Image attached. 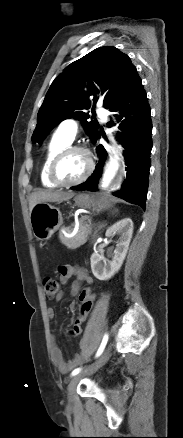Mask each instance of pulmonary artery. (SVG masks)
Returning a JSON list of instances; mask_svg holds the SVG:
<instances>
[{"mask_svg": "<svg viewBox=\"0 0 183 438\" xmlns=\"http://www.w3.org/2000/svg\"><path fill=\"white\" fill-rule=\"evenodd\" d=\"M97 111L103 120H106L107 113L102 107V103L99 102L97 105ZM58 131L66 136L70 140H74L77 131L78 125L74 119H66L59 125Z\"/></svg>", "mask_w": 183, "mask_h": 438, "instance_id": "e3ab8cb5", "label": "pulmonary artery"}]
</instances>
